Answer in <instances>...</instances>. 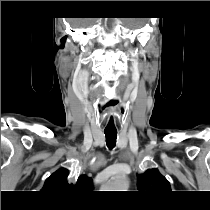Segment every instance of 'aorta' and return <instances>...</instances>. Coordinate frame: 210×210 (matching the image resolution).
Segmentation results:
<instances>
[{"instance_id":"1","label":"aorta","mask_w":210,"mask_h":210,"mask_svg":"<svg viewBox=\"0 0 210 210\" xmlns=\"http://www.w3.org/2000/svg\"><path fill=\"white\" fill-rule=\"evenodd\" d=\"M128 184L127 176L124 174H118L110 180L105 188L111 189V191H125V189L128 188Z\"/></svg>"}]
</instances>
